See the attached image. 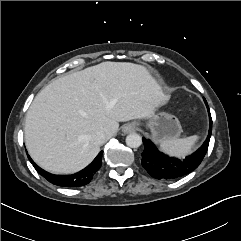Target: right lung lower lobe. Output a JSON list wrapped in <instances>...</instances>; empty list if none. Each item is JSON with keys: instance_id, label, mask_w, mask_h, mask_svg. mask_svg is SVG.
Returning a JSON list of instances; mask_svg holds the SVG:
<instances>
[{"instance_id": "obj_1", "label": "right lung lower lobe", "mask_w": 241, "mask_h": 241, "mask_svg": "<svg viewBox=\"0 0 241 241\" xmlns=\"http://www.w3.org/2000/svg\"><path fill=\"white\" fill-rule=\"evenodd\" d=\"M102 153L101 151L97 157L93 160L91 164H89L85 169L81 170L78 173L72 174V175H66V176H61V175H53L50 174L37 165L34 164L35 169L37 172L45 177L49 182L57 185V186H63V187H79V186H84L88 184L95 173L99 170L101 167V162H102ZM29 160L31 163H33V160L30 158L28 155Z\"/></svg>"}]
</instances>
